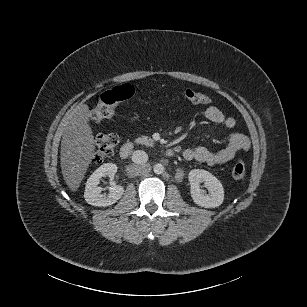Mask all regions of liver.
<instances>
[{
  "label": "liver",
  "instance_id": "6515ba94",
  "mask_svg": "<svg viewBox=\"0 0 307 307\" xmlns=\"http://www.w3.org/2000/svg\"><path fill=\"white\" fill-rule=\"evenodd\" d=\"M92 112L88 104L77 106L61 122L60 165L65 183L76 193L95 158L96 140L90 120Z\"/></svg>",
  "mask_w": 307,
  "mask_h": 307
}]
</instances>
